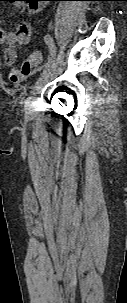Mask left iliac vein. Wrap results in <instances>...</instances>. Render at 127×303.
Masks as SVG:
<instances>
[{"label": "left iliac vein", "instance_id": "4c4485c4", "mask_svg": "<svg viewBox=\"0 0 127 303\" xmlns=\"http://www.w3.org/2000/svg\"><path fill=\"white\" fill-rule=\"evenodd\" d=\"M61 63V56L58 55L56 62L54 65L48 69L45 72H42L41 76L38 78L36 82V87L32 90L31 96L28 98L26 104H25V113L26 116H31L33 113V99L35 96L41 92L42 88L53 78L55 69L60 65Z\"/></svg>", "mask_w": 127, "mask_h": 303}]
</instances>
